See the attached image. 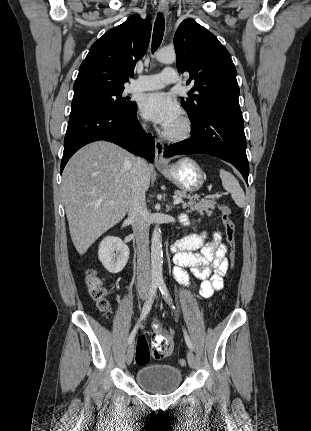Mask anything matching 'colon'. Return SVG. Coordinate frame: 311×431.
<instances>
[{
	"mask_svg": "<svg viewBox=\"0 0 311 431\" xmlns=\"http://www.w3.org/2000/svg\"><path fill=\"white\" fill-rule=\"evenodd\" d=\"M221 214L222 226L224 229V235L226 243L229 248V265L233 268L236 264V240L235 230L236 226L232 219L231 208L226 204L219 206ZM85 284L91 299L95 302L99 311L107 316H110V304L106 297L105 289L102 285V281L95 270H88L85 275ZM174 343L165 337H156L152 344L151 349L148 341L144 336H140L136 343V355L135 361L137 365H146L150 360L152 354L155 358H166L173 354ZM180 366H185V359L178 361Z\"/></svg>",
	"mask_w": 311,
	"mask_h": 431,
	"instance_id": "obj_1",
	"label": "colon"
}]
</instances>
